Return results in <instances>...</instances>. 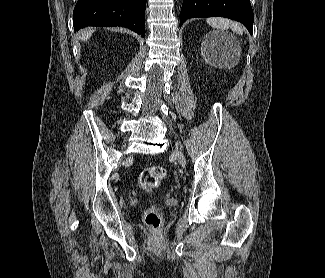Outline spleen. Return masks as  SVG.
<instances>
[{"label": "spleen", "mask_w": 325, "mask_h": 278, "mask_svg": "<svg viewBox=\"0 0 325 278\" xmlns=\"http://www.w3.org/2000/svg\"><path fill=\"white\" fill-rule=\"evenodd\" d=\"M206 21L213 28L220 29V30H226L230 28L233 32L237 34L240 35L243 34L242 27L238 23L230 21L229 19L213 17V18H208Z\"/></svg>", "instance_id": "spleen-1"}]
</instances>
